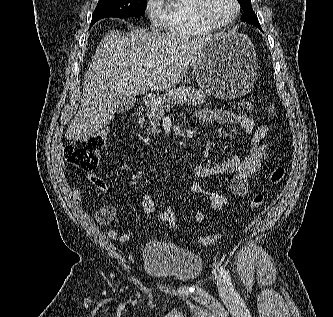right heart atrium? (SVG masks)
Segmentation results:
<instances>
[{"label": "right heart atrium", "mask_w": 333, "mask_h": 317, "mask_svg": "<svg viewBox=\"0 0 333 317\" xmlns=\"http://www.w3.org/2000/svg\"><path fill=\"white\" fill-rule=\"evenodd\" d=\"M145 13L155 29L164 27L165 17L162 0H146Z\"/></svg>", "instance_id": "1"}]
</instances>
